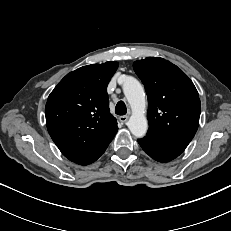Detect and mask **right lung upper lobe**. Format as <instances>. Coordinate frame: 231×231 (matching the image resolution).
<instances>
[{"label": "right lung upper lobe", "mask_w": 231, "mask_h": 231, "mask_svg": "<svg viewBox=\"0 0 231 231\" xmlns=\"http://www.w3.org/2000/svg\"><path fill=\"white\" fill-rule=\"evenodd\" d=\"M117 68L115 61L78 68L67 74L47 99L48 132L72 162L88 165L96 161L117 133L107 95V84Z\"/></svg>", "instance_id": "right-lung-upper-lobe-1"}]
</instances>
